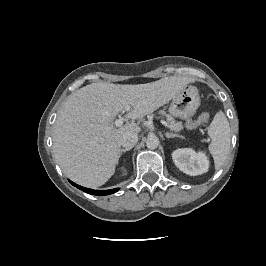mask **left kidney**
<instances>
[{
  "mask_svg": "<svg viewBox=\"0 0 266 266\" xmlns=\"http://www.w3.org/2000/svg\"><path fill=\"white\" fill-rule=\"evenodd\" d=\"M172 159L182 172L190 176L206 173L209 168V160L205 153L196 152L191 148H182L173 151Z\"/></svg>",
  "mask_w": 266,
  "mask_h": 266,
  "instance_id": "left-kidney-1",
  "label": "left kidney"
}]
</instances>
